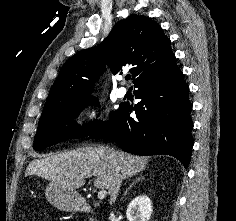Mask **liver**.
<instances>
[{
	"label": "liver",
	"instance_id": "obj_1",
	"mask_svg": "<svg viewBox=\"0 0 236 221\" xmlns=\"http://www.w3.org/2000/svg\"><path fill=\"white\" fill-rule=\"evenodd\" d=\"M112 151L110 148L87 146L34 159L26 168L25 176L37 175L69 190L84 186L86 178L95 176L94 187L110 193L118 176L122 180L133 177L148 163L145 157L122 151L112 154Z\"/></svg>",
	"mask_w": 236,
	"mask_h": 221
}]
</instances>
